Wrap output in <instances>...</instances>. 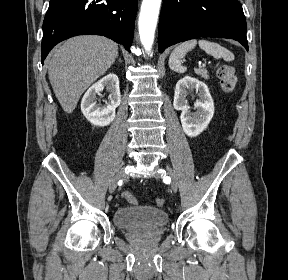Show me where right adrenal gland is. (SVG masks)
<instances>
[{
    "mask_svg": "<svg viewBox=\"0 0 288 280\" xmlns=\"http://www.w3.org/2000/svg\"><path fill=\"white\" fill-rule=\"evenodd\" d=\"M118 61H119V62H122V61H121V58H119V60H118Z\"/></svg>",
    "mask_w": 288,
    "mask_h": 280,
    "instance_id": "2a0ac1e0",
    "label": "right adrenal gland"
}]
</instances>
